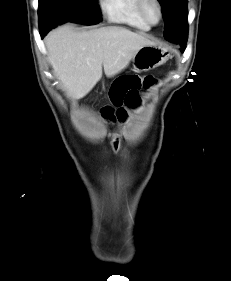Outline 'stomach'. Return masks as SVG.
Wrapping results in <instances>:
<instances>
[{
	"label": "stomach",
	"instance_id": "stomach-1",
	"mask_svg": "<svg viewBox=\"0 0 231 281\" xmlns=\"http://www.w3.org/2000/svg\"><path fill=\"white\" fill-rule=\"evenodd\" d=\"M170 58V52L161 45L142 47L132 58L135 71H149L164 64Z\"/></svg>",
	"mask_w": 231,
	"mask_h": 281
}]
</instances>
